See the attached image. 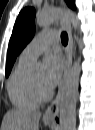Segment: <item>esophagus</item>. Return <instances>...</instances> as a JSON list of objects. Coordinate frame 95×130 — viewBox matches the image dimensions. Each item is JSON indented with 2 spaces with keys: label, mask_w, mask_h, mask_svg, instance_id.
<instances>
[{
  "label": "esophagus",
  "mask_w": 95,
  "mask_h": 130,
  "mask_svg": "<svg viewBox=\"0 0 95 130\" xmlns=\"http://www.w3.org/2000/svg\"><path fill=\"white\" fill-rule=\"evenodd\" d=\"M62 7H65V3L61 1ZM61 26L66 30L68 34V45L65 51V56H66V66L64 69V75L63 77L65 78L67 74L69 73L71 66H72V61H73V54H74V42H73V36H72V30H71V24L68 20L62 19L60 21ZM61 86L59 87L58 94L56 98L52 101V103L48 106L46 109L43 119L45 121H53L56 115L58 114L59 111V106L61 102Z\"/></svg>",
  "instance_id": "obj_1"
}]
</instances>
